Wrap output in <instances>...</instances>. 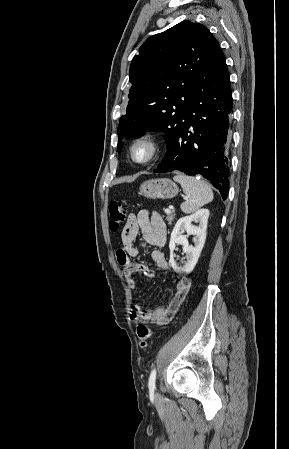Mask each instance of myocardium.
I'll return each mask as SVG.
<instances>
[{
    "label": "myocardium",
    "instance_id": "f54148a6",
    "mask_svg": "<svg viewBox=\"0 0 289 449\" xmlns=\"http://www.w3.org/2000/svg\"><path fill=\"white\" fill-rule=\"evenodd\" d=\"M147 146L149 153L143 160H139L135 157V149L140 146ZM160 152V144L157 137L151 133H143L136 137L130 145L129 156L130 159L137 164L146 165L154 161Z\"/></svg>",
    "mask_w": 289,
    "mask_h": 449
}]
</instances>
